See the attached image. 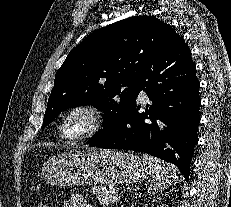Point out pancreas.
Returning <instances> with one entry per match:
<instances>
[{"label":"pancreas","instance_id":"obj_1","mask_svg":"<svg viewBox=\"0 0 231 207\" xmlns=\"http://www.w3.org/2000/svg\"><path fill=\"white\" fill-rule=\"evenodd\" d=\"M92 192L103 206H107L116 201L115 197L117 196V192L115 189L94 186Z\"/></svg>","mask_w":231,"mask_h":207}]
</instances>
